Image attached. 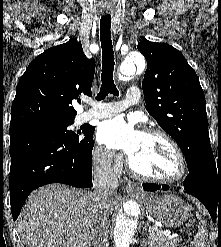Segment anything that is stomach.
Masks as SVG:
<instances>
[{
	"label": "stomach",
	"instance_id": "obj_1",
	"mask_svg": "<svg viewBox=\"0 0 221 247\" xmlns=\"http://www.w3.org/2000/svg\"><path fill=\"white\" fill-rule=\"evenodd\" d=\"M157 220L167 227L181 226L190 216V209L186 202L174 194L159 197H139Z\"/></svg>",
	"mask_w": 221,
	"mask_h": 247
}]
</instances>
